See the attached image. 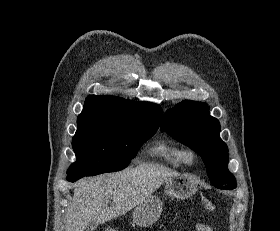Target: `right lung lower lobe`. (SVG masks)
I'll return each instance as SVG.
<instances>
[{
	"instance_id": "1",
	"label": "right lung lower lobe",
	"mask_w": 280,
	"mask_h": 231,
	"mask_svg": "<svg viewBox=\"0 0 280 231\" xmlns=\"http://www.w3.org/2000/svg\"><path fill=\"white\" fill-rule=\"evenodd\" d=\"M84 177L83 175H74V174H69L67 177H66V180L70 181V182H75L77 181L78 179Z\"/></svg>"
}]
</instances>
